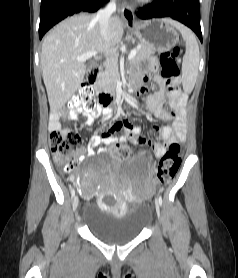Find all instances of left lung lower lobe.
<instances>
[{
    "label": "left lung lower lobe",
    "mask_w": 238,
    "mask_h": 278,
    "mask_svg": "<svg viewBox=\"0 0 238 278\" xmlns=\"http://www.w3.org/2000/svg\"><path fill=\"white\" fill-rule=\"evenodd\" d=\"M139 19L170 17L191 28L202 42L199 0H154L136 11Z\"/></svg>",
    "instance_id": "0a47b994"
}]
</instances>
